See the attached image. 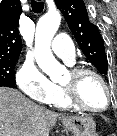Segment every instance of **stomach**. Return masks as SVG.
I'll return each mask as SVG.
<instances>
[{
	"mask_svg": "<svg viewBox=\"0 0 117 136\" xmlns=\"http://www.w3.org/2000/svg\"><path fill=\"white\" fill-rule=\"evenodd\" d=\"M62 123L72 132L74 136H95L96 124L92 117L74 116L63 118Z\"/></svg>",
	"mask_w": 117,
	"mask_h": 136,
	"instance_id": "1",
	"label": "stomach"
}]
</instances>
